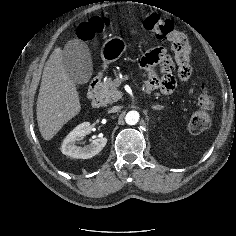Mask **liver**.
Returning <instances> with one entry per match:
<instances>
[{"instance_id":"1","label":"liver","mask_w":236,"mask_h":236,"mask_svg":"<svg viewBox=\"0 0 236 236\" xmlns=\"http://www.w3.org/2000/svg\"><path fill=\"white\" fill-rule=\"evenodd\" d=\"M81 110L79 94L65 72L63 51L54 49L48 58L37 99V122L44 140H51Z\"/></svg>"}]
</instances>
